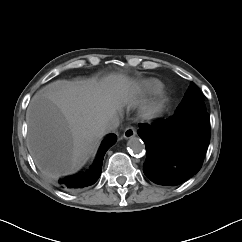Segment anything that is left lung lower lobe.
I'll return each mask as SVG.
<instances>
[{
	"label": "left lung lower lobe",
	"mask_w": 242,
	"mask_h": 242,
	"mask_svg": "<svg viewBox=\"0 0 242 242\" xmlns=\"http://www.w3.org/2000/svg\"><path fill=\"white\" fill-rule=\"evenodd\" d=\"M146 145L145 175L160 185H178L201 168L210 142L206 111H193L151 124L137 131Z\"/></svg>",
	"instance_id": "obj_1"
}]
</instances>
